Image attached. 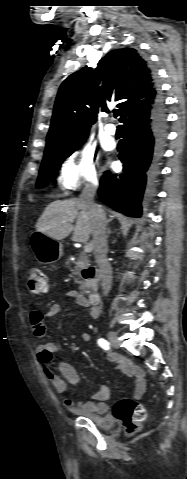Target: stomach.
Returning a JSON list of instances; mask_svg holds the SVG:
<instances>
[{"label":"stomach","mask_w":187,"mask_h":479,"mask_svg":"<svg viewBox=\"0 0 187 479\" xmlns=\"http://www.w3.org/2000/svg\"><path fill=\"white\" fill-rule=\"evenodd\" d=\"M30 245L36 259L42 264L54 263L63 255L62 243L39 231L31 235Z\"/></svg>","instance_id":"0dacf381"}]
</instances>
